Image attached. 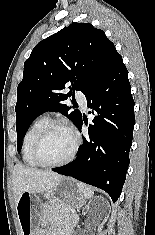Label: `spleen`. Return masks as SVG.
<instances>
[{"label": "spleen", "mask_w": 155, "mask_h": 235, "mask_svg": "<svg viewBox=\"0 0 155 235\" xmlns=\"http://www.w3.org/2000/svg\"><path fill=\"white\" fill-rule=\"evenodd\" d=\"M78 185L86 198H91L93 196L94 192L91 187L87 186L84 183H79Z\"/></svg>", "instance_id": "1"}]
</instances>
